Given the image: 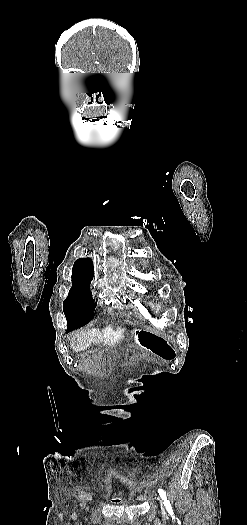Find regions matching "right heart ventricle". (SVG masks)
Instances as JSON below:
<instances>
[{"instance_id":"1","label":"right heart ventricle","mask_w":247,"mask_h":525,"mask_svg":"<svg viewBox=\"0 0 247 525\" xmlns=\"http://www.w3.org/2000/svg\"><path fill=\"white\" fill-rule=\"evenodd\" d=\"M144 303H145L147 306L150 307V306H151V300H150V298H145Z\"/></svg>"}]
</instances>
